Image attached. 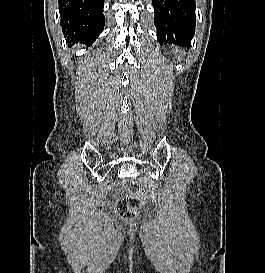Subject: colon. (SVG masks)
<instances>
[{"label":"colon","instance_id":"5ec220e1","mask_svg":"<svg viewBox=\"0 0 265 273\" xmlns=\"http://www.w3.org/2000/svg\"><path fill=\"white\" fill-rule=\"evenodd\" d=\"M129 194L117 202L116 210L123 219H130L135 216L140 206L146 199V194L137 184L131 183Z\"/></svg>","mask_w":265,"mask_h":273}]
</instances>
